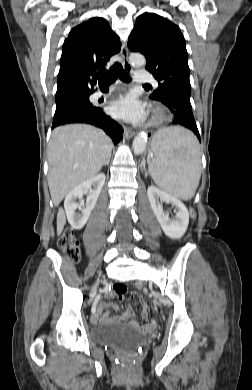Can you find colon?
Here are the masks:
<instances>
[{"label":"colon","instance_id":"colon-1","mask_svg":"<svg viewBox=\"0 0 252 390\" xmlns=\"http://www.w3.org/2000/svg\"><path fill=\"white\" fill-rule=\"evenodd\" d=\"M192 216L195 215L194 211H191ZM59 247L65 254L68 261L76 263L80 257V250L78 241L71 230H66L59 240ZM113 291L117 295H124L127 291V287L124 284L117 283L113 286ZM130 297L132 299H139L140 295L137 292H131Z\"/></svg>","mask_w":252,"mask_h":390}]
</instances>
